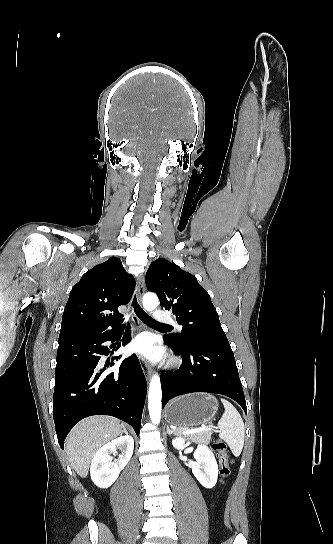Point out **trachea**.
<instances>
[{
  "instance_id": "obj_1",
  "label": "trachea",
  "mask_w": 333,
  "mask_h": 544,
  "mask_svg": "<svg viewBox=\"0 0 333 544\" xmlns=\"http://www.w3.org/2000/svg\"><path fill=\"white\" fill-rule=\"evenodd\" d=\"M132 306L134 308V311L136 313V315L146 324H151V325H156V326H161V327H167V328H171L170 325H167V324H163V323H160V322H157L156 320H154L153 318H151L138 304L137 302V299L136 297H134L133 299V302H132Z\"/></svg>"
}]
</instances>
